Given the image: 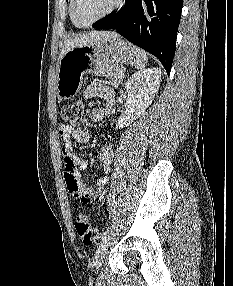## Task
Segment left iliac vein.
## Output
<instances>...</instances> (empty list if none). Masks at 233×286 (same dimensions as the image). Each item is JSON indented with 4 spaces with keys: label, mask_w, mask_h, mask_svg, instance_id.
<instances>
[{
    "label": "left iliac vein",
    "mask_w": 233,
    "mask_h": 286,
    "mask_svg": "<svg viewBox=\"0 0 233 286\" xmlns=\"http://www.w3.org/2000/svg\"><path fill=\"white\" fill-rule=\"evenodd\" d=\"M110 246V238H106L104 241L101 242L99 245L96 254H95V265L97 268L101 267L105 256L107 255L108 248Z\"/></svg>",
    "instance_id": "left-iliac-vein-1"
}]
</instances>
